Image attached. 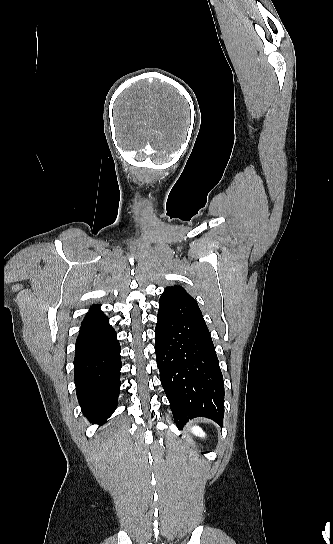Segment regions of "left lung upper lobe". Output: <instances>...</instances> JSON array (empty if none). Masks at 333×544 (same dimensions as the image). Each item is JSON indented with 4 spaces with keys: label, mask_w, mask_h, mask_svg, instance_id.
Listing matches in <instances>:
<instances>
[{
    "label": "left lung upper lobe",
    "mask_w": 333,
    "mask_h": 544,
    "mask_svg": "<svg viewBox=\"0 0 333 544\" xmlns=\"http://www.w3.org/2000/svg\"><path fill=\"white\" fill-rule=\"evenodd\" d=\"M166 295H180L185 297H191L183 287L178 285L166 287L162 296L160 297V300Z\"/></svg>",
    "instance_id": "5c2ea615"
}]
</instances>
